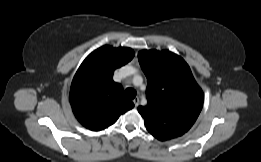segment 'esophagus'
I'll return each mask as SVG.
<instances>
[{
	"label": "esophagus",
	"mask_w": 261,
	"mask_h": 162,
	"mask_svg": "<svg viewBox=\"0 0 261 162\" xmlns=\"http://www.w3.org/2000/svg\"><path fill=\"white\" fill-rule=\"evenodd\" d=\"M133 103H134L135 107H138V105H139V98H138V97H135V98L133 99Z\"/></svg>",
	"instance_id": "esophagus-1"
}]
</instances>
